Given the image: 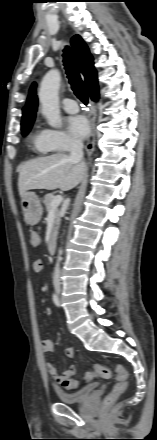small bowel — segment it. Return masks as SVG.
<instances>
[{
    "label": "small bowel",
    "instance_id": "obj_1",
    "mask_svg": "<svg viewBox=\"0 0 157 440\" xmlns=\"http://www.w3.org/2000/svg\"><path fill=\"white\" fill-rule=\"evenodd\" d=\"M33 268L36 272H40L43 267L40 269H37L33 266ZM45 313H46V315H50L51 309L46 308ZM54 347H55V344H54L53 340H51V339H44L41 341V348L44 353L52 352L54 350ZM65 353H66L67 357L73 358L75 355V350L73 348H68V349H66ZM46 369H47V372L49 373V375L55 381V383L60 384V385L63 384L64 380L74 376L76 374V370H77L75 365H70L64 373L59 374L57 372V369L55 368V366L50 362L46 363Z\"/></svg>",
    "mask_w": 157,
    "mask_h": 440
}]
</instances>
